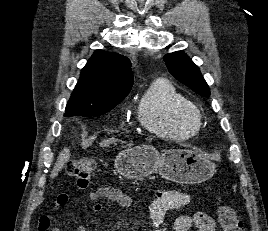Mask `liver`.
Here are the masks:
<instances>
[{
	"instance_id": "obj_1",
	"label": "liver",
	"mask_w": 268,
	"mask_h": 231,
	"mask_svg": "<svg viewBox=\"0 0 268 231\" xmlns=\"http://www.w3.org/2000/svg\"><path fill=\"white\" fill-rule=\"evenodd\" d=\"M117 140L114 138L103 140L100 143L101 147H107L112 143H115ZM132 143L127 144V146H131ZM70 159V150L68 148H64L58 155V158L55 162L54 168L51 171L50 178L54 179L56 176H58V173L62 170L64 165L69 161Z\"/></svg>"
}]
</instances>
